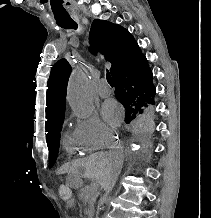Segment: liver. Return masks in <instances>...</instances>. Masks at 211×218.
Instances as JSON below:
<instances>
[{"instance_id": "obj_1", "label": "liver", "mask_w": 211, "mask_h": 218, "mask_svg": "<svg viewBox=\"0 0 211 218\" xmlns=\"http://www.w3.org/2000/svg\"><path fill=\"white\" fill-rule=\"evenodd\" d=\"M122 152L119 150L117 154H107V152H100V154H92L88 158L81 160V166L84 170L86 178H95L99 184L107 182L114 166L113 162L121 160Z\"/></svg>"}]
</instances>
